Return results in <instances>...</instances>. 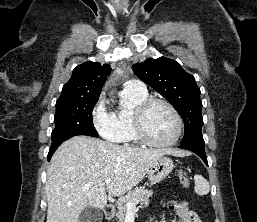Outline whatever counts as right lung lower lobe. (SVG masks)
<instances>
[{
    "mask_svg": "<svg viewBox=\"0 0 257 222\" xmlns=\"http://www.w3.org/2000/svg\"><path fill=\"white\" fill-rule=\"evenodd\" d=\"M60 146V144L56 145V146H51L49 149V153L47 156L48 161L51 159L53 153L56 151V149Z\"/></svg>",
    "mask_w": 257,
    "mask_h": 222,
    "instance_id": "98d812e1",
    "label": "right lung lower lobe"
}]
</instances>
